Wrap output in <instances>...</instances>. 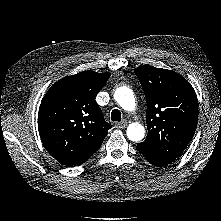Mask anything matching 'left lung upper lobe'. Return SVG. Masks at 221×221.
<instances>
[{
  "label": "left lung upper lobe",
  "mask_w": 221,
  "mask_h": 221,
  "mask_svg": "<svg viewBox=\"0 0 221 221\" xmlns=\"http://www.w3.org/2000/svg\"><path fill=\"white\" fill-rule=\"evenodd\" d=\"M144 90L148 134L137 150L157 166L175 161L196 130L198 101L193 87L178 73L152 66L134 69Z\"/></svg>",
  "instance_id": "1"
}]
</instances>
